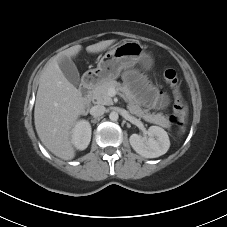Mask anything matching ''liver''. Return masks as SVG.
Returning a JSON list of instances; mask_svg holds the SVG:
<instances>
[{
    "label": "liver",
    "instance_id": "liver-1",
    "mask_svg": "<svg viewBox=\"0 0 227 227\" xmlns=\"http://www.w3.org/2000/svg\"><path fill=\"white\" fill-rule=\"evenodd\" d=\"M115 40H106L86 48L89 53L105 50ZM82 49L72 46L47 63L41 77L34 109V123L42 144L55 156L72 160L75 149L71 140L72 128L84 111V101L78 89L61 71L58 61L62 57H74Z\"/></svg>",
    "mask_w": 227,
    "mask_h": 227
}]
</instances>
